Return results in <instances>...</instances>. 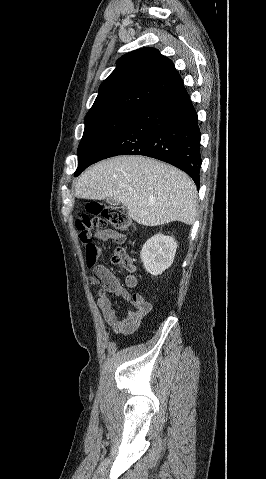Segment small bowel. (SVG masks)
I'll return each instance as SVG.
<instances>
[{
    "instance_id": "obj_1",
    "label": "small bowel",
    "mask_w": 266,
    "mask_h": 479,
    "mask_svg": "<svg viewBox=\"0 0 266 479\" xmlns=\"http://www.w3.org/2000/svg\"><path fill=\"white\" fill-rule=\"evenodd\" d=\"M93 238L98 242L110 240L115 243H121L125 237L111 230H103L94 234ZM94 275V281L100 286L101 290L97 299V305L102 312L105 322L116 334L132 333L151 308L150 303L142 294L131 293L130 291L138 284L136 275L131 273L126 277V286H123L118 278L104 265H97L94 269ZM111 296L121 297L131 302L133 307L127 308L124 316L120 317Z\"/></svg>"
}]
</instances>
